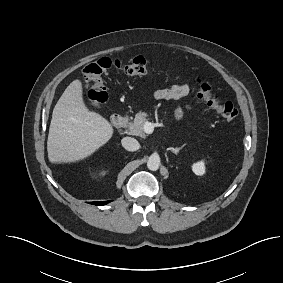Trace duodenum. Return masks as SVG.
<instances>
[{
    "instance_id": "obj_1",
    "label": "duodenum",
    "mask_w": 283,
    "mask_h": 283,
    "mask_svg": "<svg viewBox=\"0 0 283 283\" xmlns=\"http://www.w3.org/2000/svg\"><path fill=\"white\" fill-rule=\"evenodd\" d=\"M127 123V117L122 114L114 115L111 121L113 128L120 129L123 128Z\"/></svg>"
}]
</instances>
